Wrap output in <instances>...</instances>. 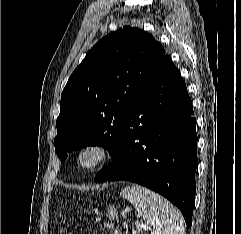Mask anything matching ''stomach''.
I'll use <instances>...</instances> for the list:
<instances>
[{
  "label": "stomach",
  "instance_id": "obj_1",
  "mask_svg": "<svg viewBox=\"0 0 241 234\" xmlns=\"http://www.w3.org/2000/svg\"><path fill=\"white\" fill-rule=\"evenodd\" d=\"M107 212L110 219H115V218L117 219L118 212L114 206H109L107 208Z\"/></svg>",
  "mask_w": 241,
  "mask_h": 234
}]
</instances>
